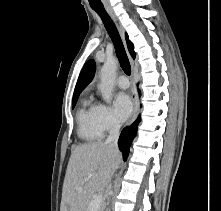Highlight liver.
<instances>
[{
    "instance_id": "1",
    "label": "liver",
    "mask_w": 221,
    "mask_h": 211,
    "mask_svg": "<svg viewBox=\"0 0 221 211\" xmlns=\"http://www.w3.org/2000/svg\"><path fill=\"white\" fill-rule=\"evenodd\" d=\"M120 162L119 150L102 142L74 147L63 183L61 211H84L86 201L108 187ZM89 176L90 179L82 184Z\"/></svg>"
}]
</instances>
